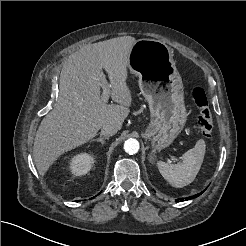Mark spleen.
<instances>
[{
    "mask_svg": "<svg viewBox=\"0 0 246 246\" xmlns=\"http://www.w3.org/2000/svg\"><path fill=\"white\" fill-rule=\"evenodd\" d=\"M205 151V141L200 139L192 149L183 154L182 162L158 161L157 167L163 178L173 187L182 188L195 180L203 163Z\"/></svg>",
    "mask_w": 246,
    "mask_h": 246,
    "instance_id": "3e777b00",
    "label": "spleen"
}]
</instances>
